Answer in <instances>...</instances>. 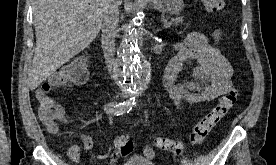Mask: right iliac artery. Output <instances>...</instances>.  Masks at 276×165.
<instances>
[{
	"mask_svg": "<svg viewBox=\"0 0 276 165\" xmlns=\"http://www.w3.org/2000/svg\"><path fill=\"white\" fill-rule=\"evenodd\" d=\"M135 105L133 101H124L122 103L114 104L108 103L105 106V111L107 114H114V115H123L129 113L132 110V107Z\"/></svg>",
	"mask_w": 276,
	"mask_h": 165,
	"instance_id": "obj_1",
	"label": "right iliac artery"
}]
</instances>
